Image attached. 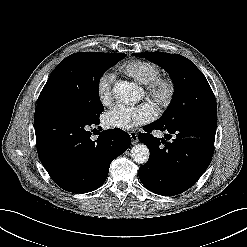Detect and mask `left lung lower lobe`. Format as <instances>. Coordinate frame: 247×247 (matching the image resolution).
<instances>
[{
    "label": "left lung lower lobe",
    "mask_w": 247,
    "mask_h": 247,
    "mask_svg": "<svg viewBox=\"0 0 247 247\" xmlns=\"http://www.w3.org/2000/svg\"><path fill=\"white\" fill-rule=\"evenodd\" d=\"M217 121L193 120L164 125L157 121L145 126L138 138L151 152L147 163L139 168L142 184L163 196L180 194L192 187L209 166L213 152ZM153 129L166 131L165 139L153 137Z\"/></svg>",
    "instance_id": "0a47b994"
}]
</instances>
